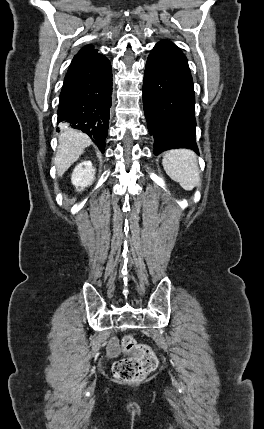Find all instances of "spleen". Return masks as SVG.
<instances>
[{"mask_svg": "<svg viewBox=\"0 0 264 429\" xmlns=\"http://www.w3.org/2000/svg\"><path fill=\"white\" fill-rule=\"evenodd\" d=\"M162 164L172 180L185 190H193L200 183L196 154L188 149H173L163 156Z\"/></svg>", "mask_w": 264, "mask_h": 429, "instance_id": "3e777b00", "label": "spleen"}]
</instances>
